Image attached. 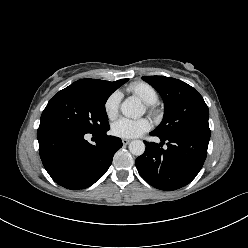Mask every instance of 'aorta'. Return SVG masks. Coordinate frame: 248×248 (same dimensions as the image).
Returning <instances> with one entry per match:
<instances>
[{"mask_svg": "<svg viewBox=\"0 0 248 248\" xmlns=\"http://www.w3.org/2000/svg\"><path fill=\"white\" fill-rule=\"evenodd\" d=\"M122 114L126 117H140L143 114V107L141 102L136 97L127 98L120 107ZM129 151L135 155L140 156L145 151V144L141 140H133L129 144Z\"/></svg>", "mask_w": 248, "mask_h": 248, "instance_id": "762f6f07", "label": "aorta"}]
</instances>
